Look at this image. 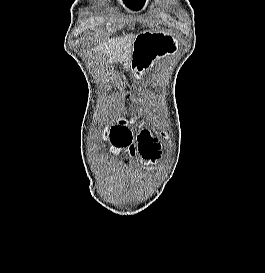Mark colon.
I'll return each mask as SVG.
<instances>
[{
	"label": "colon",
	"instance_id": "obj_1",
	"mask_svg": "<svg viewBox=\"0 0 265 273\" xmlns=\"http://www.w3.org/2000/svg\"><path fill=\"white\" fill-rule=\"evenodd\" d=\"M152 124L153 125H160L161 121L159 120V117H156V120H153ZM165 138H168V135H165Z\"/></svg>",
	"mask_w": 265,
	"mask_h": 273
}]
</instances>
